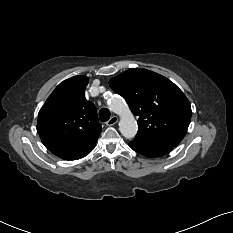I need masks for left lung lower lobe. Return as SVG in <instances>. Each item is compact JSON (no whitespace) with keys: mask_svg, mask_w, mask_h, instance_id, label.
<instances>
[{"mask_svg":"<svg viewBox=\"0 0 233 233\" xmlns=\"http://www.w3.org/2000/svg\"><path fill=\"white\" fill-rule=\"evenodd\" d=\"M129 146L134 151L146 157H160L169 153L173 148L163 144L145 142L135 139L129 143Z\"/></svg>","mask_w":233,"mask_h":233,"instance_id":"obj_1","label":"left lung lower lobe"}]
</instances>
